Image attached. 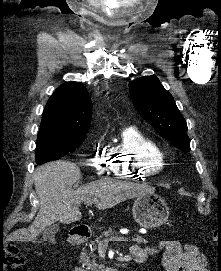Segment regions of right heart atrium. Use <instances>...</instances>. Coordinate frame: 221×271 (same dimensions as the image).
<instances>
[{
  "instance_id": "obj_1",
  "label": "right heart atrium",
  "mask_w": 221,
  "mask_h": 271,
  "mask_svg": "<svg viewBox=\"0 0 221 271\" xmlns=\"http://www.w3.org/2000/svg\"><path fill=\"white\" fill-rule=\"evenodd\" d=\"M115 155L112 154V151H96V157H93V170H99L98 177H105V173H115V171H109L108 167L110 165V161H115Z\"/></svg>"
}]
</instances>
